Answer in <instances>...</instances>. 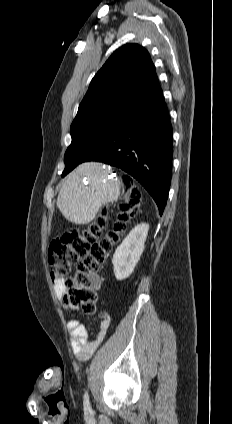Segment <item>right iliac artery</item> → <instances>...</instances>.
<instances>
[{"instance_id":"1","label":"right iliac artery","mask_w":232,"mask_h":424,"mask_svg":"<svg viewBox=\"0 0 232 424\" xmlns=\"http://www.w3.org/2000/svg\"><path fill=\"white\" fill-rule=\"evenodd\" d=\"M84 410H85V412H90L91 411L90 402H89V396H88V393L87 392L84 395Z\"/></svg>"}]
</instances>
